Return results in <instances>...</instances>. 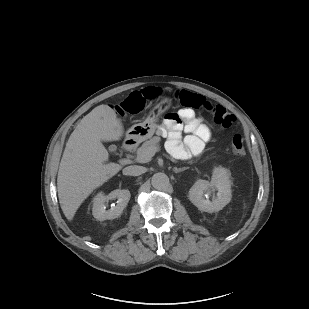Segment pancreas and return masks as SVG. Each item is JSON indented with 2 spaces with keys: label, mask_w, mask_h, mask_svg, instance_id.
I'll use <instances>...</instances> for the list:
<instances>
[{
  "label": "pancreas",
  "mask_w": 309,
  "mask_h": 309,
  "mask_svg": "<svg viewBox=\"0 0 309 309\" xmlns=\"http://www.w3.org/2000/svg\"><path fill=\"white\" fill-rule=\"evenodd\" d=\"M160 137L158 136H154L153 138H151L150 140L144 142L142 144L141 147H139L136 151V154H137V161L138 162H141V163H145V162H148L146 160V157L144 156V153L146 151H148L150 148H157L158 146V143L160 142Z\"/></svg>",
  "instance_id": "1"
}]
</instances>
